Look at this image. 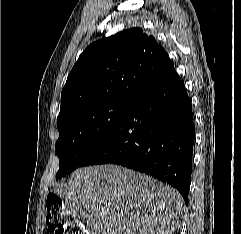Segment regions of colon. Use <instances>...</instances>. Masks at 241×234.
Instances as JSON below:
<instances>
[{
	"instance_id": "obj_1",
	"label": "colon",
	"mask_w": 241,
	"mask_h": 234,
	"mask_svg": "<svg viewBox=\"0 0 241 234\" xmlns=\"http://www.w3.org/2000/svg\"><path fill=\"white\" fill-rule=\"evenodd\" d=\"M47 225L54 234H86L81 222L65 207L62 199L54 194L47 198Z\"/></svg>"
}]
</instances>
